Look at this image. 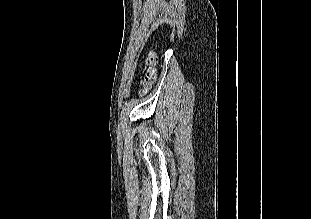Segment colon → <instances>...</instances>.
<instances>
[{"mask_svg":"<svg viewBox=\"0 0 311 219\" xmlns=\"http://www.w3.org/2000/svg\"><path fill=\"white\" fill-rule=\"evenodd\" d=\"M157 58L154 52H149L145 59V70L143 73L142 92H145L154 82L156 77Z\"/></svg>","mask_w":311,"mask_h":219,"instance_id":"1","label":"colon"}]
</instances>
